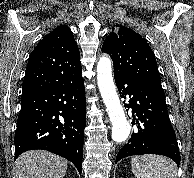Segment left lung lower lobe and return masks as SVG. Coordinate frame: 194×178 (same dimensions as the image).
Listing matches in <instances>:
<instances>
[{
    "mask_svg": "<svg viewBox=\"0 0 194 178\" xmlns=\"http://www.w3.org/2000/svg\"><path fill=\"white\" fill-rule=\"evenodd\" d=\"M115 82L121 97H131L130 104L125 107L132 108V124L136 125L128 143L117 154L116 162L132 155L158 154L171 158L179 166L180 152L163 89L148 87L117 76Z\"/></svg>",
    "mask_w": 194,
    "mask_h": 178,
    "instance_id": "obj_1",
    "label": "left lung lower lobe"
}]
</instances>
